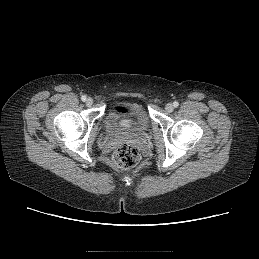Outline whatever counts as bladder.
Instances as JSON below:
<instances>
[{"label":"bladder","instance_id":"31cf9c89","mask_svg":"<svg viewBox=\"0 0 259 259\" xmlns=\"http://www.w3.org/2000/svg\"><path fill=\"white\" fill-rule=\"evenodd\" d=\"M151 119L143 105L137 102L112 104L104 117L105 128L112 133H144Z\"/></svg>","mask_w":259,"mask_h":259}]
</instances>
